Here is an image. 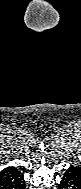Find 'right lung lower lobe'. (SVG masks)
Masks as SVG:
<instances>
[{
	"label": "right lung lower lobe",
	"instance_id": "right-lung-lower-lobe-1",
	"mask_svg": "<svg viewBox=\"0 0 81 189\" xmlns=\"http://www.w3.org/2000/svg\"><path fill=\"white\" fill-rule=\"evenodd\" d=\"M0 189H25L24 178L15 167L0 172Z\"/></svg>",
	"mask_w": 81,
	"mask_h": 189
}]
</instances>
